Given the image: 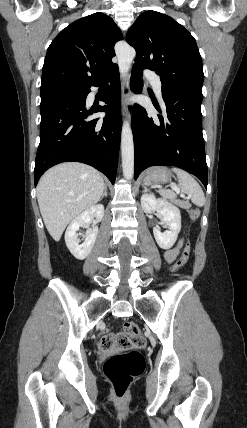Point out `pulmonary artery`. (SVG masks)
<instances>
[{
    "label": "pulmonary artery",
    "mask_w": 247,
    "mask_h": 428,
    "mask_svg": "<svg viewBox=\"0 0 247 428\" xmlns=\"http://www.w3.org/2000/svg\"><path fill=\"white\" fill-rule=\"evenodd\" d=\"M145 76L152 82L155 92L157 95H161L162 84L158 76L152 71L146 70L144 72Z\"/></svg>",
    "instance_id": "obj_1"
}]
</instances>
